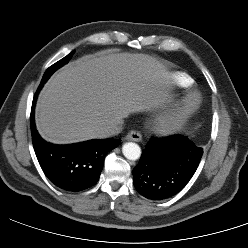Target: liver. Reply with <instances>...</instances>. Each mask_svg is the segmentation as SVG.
<instances>
[{
  "label": "liver",
  "instance_id": "liver-1",
  "mask_svg": "<svg viewBox=\"0 0 248 248\" xmlns=\"http://www.w3.org/2000/svg\"><path fill=\"white\" fill-rule=\"evenodd\" d=\"M162 63L145 54L83 56L55 73L36 106V126L47 141L66 144L105 138L106 129L131 113L169 98Z\"/></svg>",
  "mask_w": 248,
  "mask_h": 248
}]
</instances>
